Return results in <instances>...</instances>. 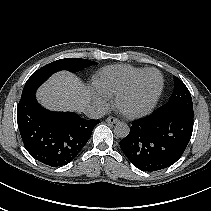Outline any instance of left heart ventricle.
<instances>
[{
  "label": "left heart ventricle",
  "instance_id": "b2bd125f",
  "mask_svg": "<svg viewBox=\"0 0 211 211\" xmlns=\"http://www.w3.org/2000/svg\"><path fill=\"white\" fill-rule=\"evenodd\" d=\"M161 85V77L156 72L146 74L135 91L124 101V107L138 110L146 107L155 97Z\"/></svg>",
  "mask_w": 211,
  "mask_h": 211
}]
</instances>
